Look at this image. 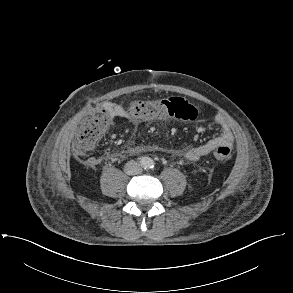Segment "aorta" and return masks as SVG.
Returning a JSON list of instances; mask_svg holds the SVG:
<instances>
[{"label": "aorta", "instance_id": "obj_1", "mask_svg": "<svg viewBox=\"0 0 293 293\" xmlns=\"http://www.w3.org/2000/svg\"><path fill=\"white\" fill-rule=\"evenodd\" d=\"M144 166L147 168H151L154 166V161L151 158H146L144 161Z\"/></svg>", "mask_w": 293, "mask_h": 293}]
</instances>
